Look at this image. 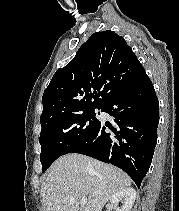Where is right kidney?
Masks as SVG:
<instances>
[{"instance_id":"obj_1","label":"right kidney","mask_w":179,"mask_h":211,"mask_svg":"<svg viewBox=\"0 0 179 211\" xmlns=\"http://www.w3.org/2000/svg\"><path fill=\"white\" fill-rule=\"evenodd\" d=\"M136 195L135 189L127 187L114 194L111 197L110 202L115 211H131ZM119 202L123 203L121 207L118 206Z\"/></svg>"}]
</instances>
